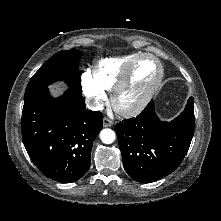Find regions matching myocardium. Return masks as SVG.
Returning <instances> with one entry per match:
<instances>
[{"label": "myocardium", "instance_id": "obj_1", "mask_svg": "<svg viewBox=\"0 0 221 221\" xmlns=\"http://www.w3.org/2000/svg\"><path fill=\"white\" fill-rule=\"evenodd\" d=\"M144 58H151L157 63L159 68L157 79L155 80L151 88L135 104L128 106L122 105L120 102V97L129 86L136 65L139 63V61H141ZM163 77L164 67L158 57L151 53H141L140 55H138L127 66V68L124 70L123 74L112 89L111 104L114 110L123 116H135L139 114L148 105V103L152 100V98L160 88Z\"/></svg>", "mask_w": 221, "mask_h": 221}]
</instances>
